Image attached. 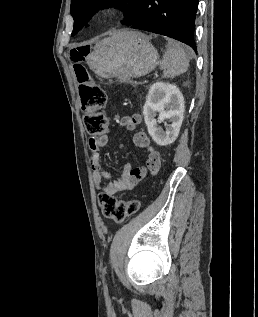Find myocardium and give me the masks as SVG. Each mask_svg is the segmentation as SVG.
<instances>
[{"instance_id":"myocardium-1","label":"myocardium","mask_w":258,"mask_h":317,"mask_svg":"<svg viewBox=\"0 0 258 317\" xmlns=\"http://www.w3.org/2000/svg\"><path fill=\"white\" fill-rule=\"evenodd\" d=\"M108 13H109V10H107V9L102 11L103 15H107Z\"/></svg>"}]
</instances>
